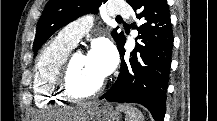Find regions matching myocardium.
<instances>
[{
    "instance_id": "obj_1",
    "label": "myocardium",
    "mask_w": 217,
    "mask_h": 121,
    "mask_svg": "<svg viewBox=\"0 0 217 121\" xmlns=\"http://www.w3.org/2000/svg\"><path fill=\"white\" fill-rule=\"evenodd\" d=\"M75 55L76 54L68 55L65 61L63 62L62 66L60 67V70L55 81L57 92L62 98L67 100L76 102L89 101L91 99H94L103 92L106 85V80L103 78L100 84L89 93L80 94L75 92L72 89L70 83V74Z\"/></svg>"
}]
</instances>
